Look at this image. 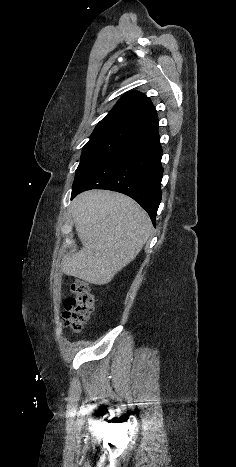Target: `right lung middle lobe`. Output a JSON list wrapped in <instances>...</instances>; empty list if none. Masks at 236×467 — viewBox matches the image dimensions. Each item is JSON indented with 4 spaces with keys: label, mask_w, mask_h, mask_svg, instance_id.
<instances>
[{
    "label": "right lung middle lobe",
    "mask_w": 236,
    "mask_h": 467,
    "mask_svg": "<svg viewBox=\"0 0 236 467\" xmlns=\"http://www.w3.org/2000/svg\"><path fill=\"white\" fill-rule=\"evenodd\" d=\"M138 135L140 134L136 131L118 127L95 128L90 140L83 147L73 185L100 161Z\"/></svg>",
    "instance_id": "right-lung-middle-lobe-1"
}]
</instances>
